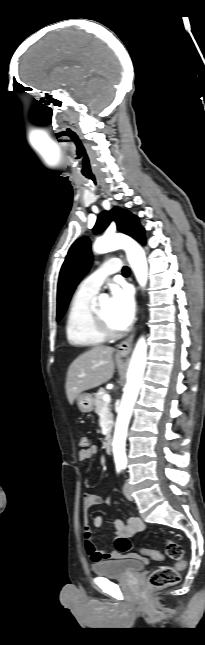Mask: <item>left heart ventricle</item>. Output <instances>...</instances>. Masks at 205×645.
Returning a JSON list of instances; mask_svg holds the SVG:
<instances>
[{
	"instance_id": "1",
	"label": "left heart ventricle",
	"mask_w": 205,
	"mask_h": 645,
	"mask_svg": "<svg viewBox=\"0 0 205 645\" xmlns=\"http://www.w3.org/2000/svg\"><path fill=\"white\" fill-rule=\"evenodd\" d=\"M98 308L107 323L114 329H119L114 321L110 302L100 303Z\"/></svg>"
}]
</instances>
